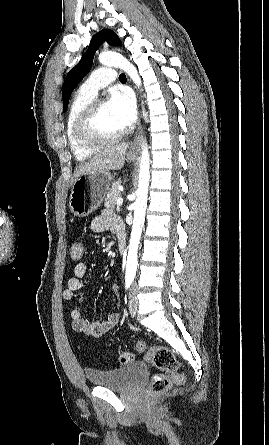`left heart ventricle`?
Here are the masks:
<instances>
[{"label":"left heart ventricle","instance_id":"b2bd125f","mask_svg":"<svg viewBox=\"0 0 269 445\" xmlns=\"http://www.w3.org/2000/svg\"><path fill=\"white\" fill-rule=\"evenodd\" d=\"M96 127L99 132L104 134H113L123 129L107 102H104L100 108Z\"/></svg>","mask_w":269,"mask_h":445}]
</instances>
